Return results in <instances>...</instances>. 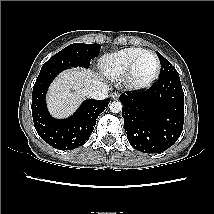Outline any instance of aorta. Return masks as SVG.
Wrapping results in <instances>:
<instances>
[{
  "label": "aorta",
  "mask_w": 214,
  "mask_h": 214,
  "mask_svg": "<svg viewBox=\"0 0 214 214\" xmlns=\"http://www.w3.org/2000/svg\"><path fill=\"white\" fill-rule=\"evenodd\" d=\"M122 103L120 101H113L110 103V111L113 113H119L122 111Z\"/></svg>",
  "instance_id": "obj_1"
}]
</instances>
